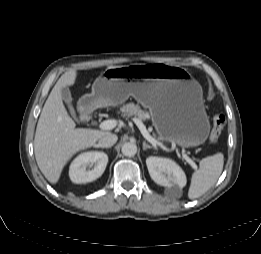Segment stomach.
I'll use <instances>...</instances> for the list:
<instances>
[{"instance_id": "0dacf381", "label": "stomach", "mask_w": 261, "mask_h": 254, "mask_svg": "<svg viewBox=\"0 0 261 254\" xmlns=\"http://www.w3.org/2000/svg\"><path fill=\"white\" fill-rule=\"evenodd\" d=\"M130 96L149 109L162 141L203 144L210 132L200 84L178 65L134 64L107 68L82 97L89 108L117 106Z\"/></svg>"}]
</instances>
